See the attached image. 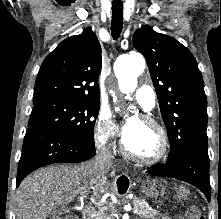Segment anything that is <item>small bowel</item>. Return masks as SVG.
<instances>
[{
  "label": "small bowel",
  "instance_id": "1",
  "mask_svg": "<svg viewBox=\"0 0 221 219\" xmlns=\"http://www.w3.org/2000/svg\"><path fill=\"white\" fill-rule=\"evenodd\" d=\"M161 219H169V218H167V217H164V218H161Z\"/></svg>",
  "mask_w": 221,
  "mask_h": 219
}]
</instances>
